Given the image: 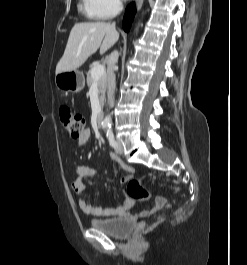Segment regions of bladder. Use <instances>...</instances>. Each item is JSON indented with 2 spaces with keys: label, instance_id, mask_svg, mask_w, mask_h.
<instances>
[{
  "label": "bladder",
  "instance_id": "1",
  "mask_svg": "<svg viewBox=\"0 0 247 265\" xmlns=\"http://www.w3.org/2000/svg\"><path fill=\"white\" fill-rule=\"evenodd\" d=\"M90 225L114 238L124 239L135 229L136 225L124 218L92 219Z\"/></svg>",
  "mask_w": 247,
  "mask_h": 265
}]
</instances>
